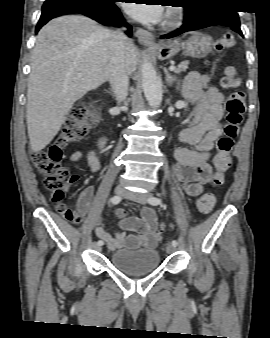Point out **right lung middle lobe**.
Listing matches in <instances>:
<instances>
[{
    "label": "right lung middle lobe",
    "mask_w": 270,
    "mask_h": 338,
    "mask_svg": "<svg viewBox=\"0 0 270 338\" xmlns=\"http://www.w3.org/2000/svg\"><path fill=\"white\" fill-rule=\"evenodd\" d=\"M86 1H89V2H99V3H108L112 0H86Z\"/></svg>",
    "instance_id": "dd1d6c3e"
}]
</instances>
